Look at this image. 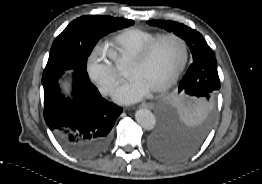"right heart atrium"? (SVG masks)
Returning <instances> with one entry per match:
<instances>
[{
    "label": "right heart atrium",
    "mask_w": 262,
    "mask_h": 184,
    "mask_svg": "<svg viewBox=\"0 0 262 184\" xmlns=\"http://www.w3.org/2000/svg\"><path fill=\"white\" fill-rule=\"evenodd\" d=\"M87 74L102 94H110L119 82L114 58L101 46H95L87 58Z\"/></svg>",
    "instance_id": "obj_1"
}]
</instances>
